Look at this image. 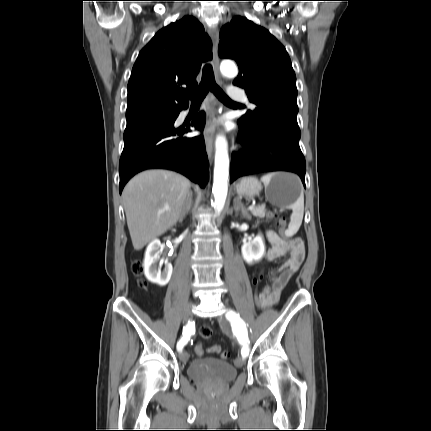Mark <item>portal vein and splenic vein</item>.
Wrapping results in <instances>:
<instances>
[{
  "instance_id": "portal-vein-and-splenic-vein-1",
  "label": "portal vein and splenic vein",
  "mask_w": 431,
  "mask_h": 431,
  "mask_svg": "<svg viewBox=\"0 0 431 431\" xmlns=\"http://www.w3.org/2000/svg\"><path fill=\"white\" fill-rule=\"evenodd\" d=\"M254 208H255V205H251V206H249V208H248V209H249V210H253ZM166 210H167V211H169V208H167Z\"/></svg>"
}]
</instances>
